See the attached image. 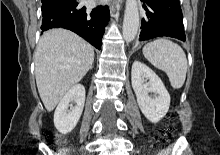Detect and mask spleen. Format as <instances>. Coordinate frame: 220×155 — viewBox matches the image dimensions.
<instances>
[{
    "mask_svg": "<svg viewBox=\"0 0 220 155\" xmlns=\"http://www.w3.org/2000/svg\"><path fill=\"white\" fill-rule=\"evenodd\" d=\"M144 57L157 69L164 71L174 89H180L186 79L187 59L183 49L171 40L160 38L146 44Z\"/></svg>",
    "mask_w": 220,
    "mask_h": 155,
    "instance_id": "3e777b00",
    "label": "spleen"
}]
</instances>
